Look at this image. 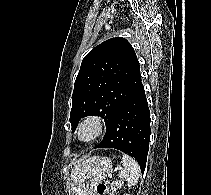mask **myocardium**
I'll return each mask as SVG.
<instances>
[{
	"label": "myocardium",
	"mask_w": 211,
	"mask_h": 195,
	"mask_svg": "<svg viewBox=\"0 0 211 195\" xmlns=\"http://www.w3.org/2000/svg\"><path fill=\"white\" fill-rule=\"evenodd\" d=\"M87 126H92L94 131L91 136L84 137L83 136V130ZM106 129L105 121L104 119L99 115H89L86 116L79 124L77 129V137L80 141L89 143L93 142L96 139H98L102 134L104 133Z\"/></svg>",
	"instance_id": "myocardium-1"
}]
</instances>
